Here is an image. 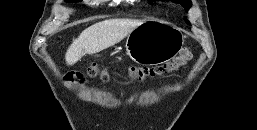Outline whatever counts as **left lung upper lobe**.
Instances as JSON below:
<instances>
[{
  "instance_id": "left-lung-upper-lobe-1",
  "label": "left lung upper lobe",
  "mask_w": 257,
  "mask_h": 130,
  "mask_svg": "<svg viewBox=\"0 0 257 130\" xmlns=\"http://www.w3.org/2000/svg\"><path fill=\"white\" fill-rule=\"evenodd\" d=\"M176 2L180 3L186 11L192 6L191 0H176Z\"/></svg>"
}]
</instances>
